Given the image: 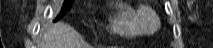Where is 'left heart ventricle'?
Listing matches in <instances>:
<instances>
[{"instance_id":"b2bd125f","label":"left heart ventricle","mask_w":213,"mask_h":48,"mask_svg":"<svg viewBox=\"0 0 213 48\" xmlns=\"http://www.w3.org/2000/svg\"><path fill=\"white\" fill-rule=\"evenodd\" d=\"M149 24H150V26H152V25H153V22H152V21H149Z\"/></svg>"}]
</instances>
